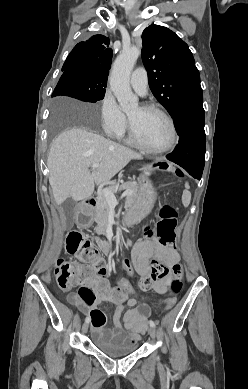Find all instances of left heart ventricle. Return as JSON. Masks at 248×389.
I'll return each instance as SVG.
<instances>
[{"mask_svg":"<svg viewBox=\"0 0 248 389\" xmlns=\"http://www.w3.org/2000/svg\"><path fill=\"white\" fill-rule=\"evenodd\" d=\"M128 117L132 120L140 140L150 148L165 146L171 136L168 122L157 112L134 107Z\"/></svg>","mask_w":248,"mask_h":389,"instance_id":"b2bd125f","label":"left heart ventricle"}]
</instances>
